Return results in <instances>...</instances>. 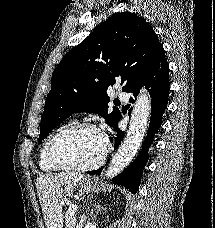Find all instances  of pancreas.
Masks as SVG:
<instances>
[{
	"mask_svg": "<svg viewBox=\"0 0 215 228\" xmlns=\"http://www.w3.org/2000/svg\"><path fill=\"white\" fill-rule=\"evenodd\" d=\"M76 226V214L72 210H67L65 214V228H75Z\"/></svg>",
	"mask_w": 215,
	"mask_h": 228,
	"instance_id": "obj_1",
	"label": "pancreas"
}]
</instances>
